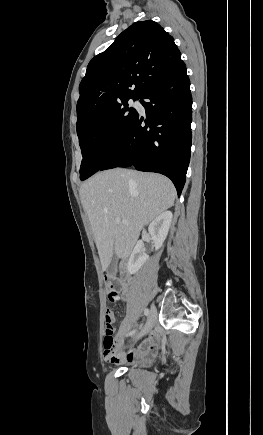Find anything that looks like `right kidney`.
I'll return each mask as SVG.
<instances>
[{
    "label": "right kidney",
    "instance_id": "ca27d5eb",
    "mask_svg": "<svg viewBox=\"0 0 263 435\" xmlns=\"http://www.w3.org/2000/svg\"><path fill=\"white\" fill-rule=\"evenodd\" d=\"M172 219V212L164 211L150 223L148 231L154 242L155 250L160 249L166 239ZM143 247V241H139L130 255L127 266L130 274L137 273L149 258V256L144 253Z\"/></svg>",
    "mask_w": 263,
    "mask_h": 435
}]
</instances>
